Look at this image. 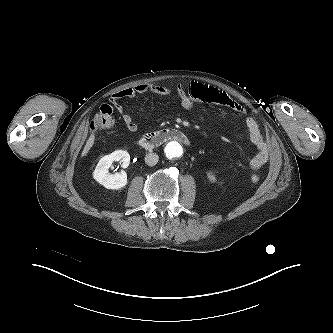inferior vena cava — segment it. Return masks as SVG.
Listing matches in <instances>:
<instances>
[{
    "instance_id": "inferior-vena-cava-1",
    "label": "inferior vena cava",
    "mask_w": 333,
    "mask_h": 333,
    "mask_svg": "<svg viewBox=\"0 0 333 333\" xmlns=\"http://www.w3.org/2000/svg\"><path fill=\"white\" fill-rule=\"evenodd\" d=\"M159 156L156 153H148L145 156V163L149 166H154L157 164Z\"/></svg>"
}]
</instances>
